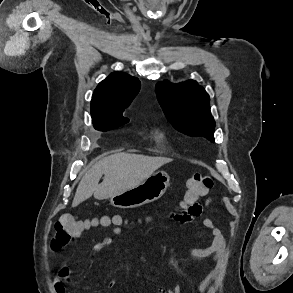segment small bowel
<instances>
[{"mask_svg":"<svg viewBox=\"0 0 293 293\" xmlns=\"http://www.w3.org/2000/svg\"><path fill=\"white\" fill-rule=\"evenodd\" d=\"M202 211V205L200 203L196 204L190 210L182 209L181 207L176 208L174 212L171 213L170 218L179 223H186L191 221L193 218L198 216ZM118 217V216H114ZM146 222H150V218H146ZM203 225L207 227L213 236L212 243L207 247H195L189 246L188 251L190 255L195 259H205L212 255L217 256V258H221L225 252V234L224 232L217 227L211 220L205 219L203 221ZM90 227H88L85 231H87ZM85 231H83L80 235H82ZM121 230L117 227L114 228L115 234H120ZM113 244V239L111 237H104L100 241L96 242L92 246V252L101 253L109 249ZM212 276H207L201 283L196 287L197 290H201L205 288ZM70 281V269L66 266L60 267L56 276L53 279V286L56 293H67L65 283ZM115 282L112 280L109 282V286H114ZM163 293H183V290L180 286L176 285L169 290L163 291Z\"/></svg>","mask_w":293,"mask_h":293,"instance_id":"small-bowel-1","label":"small bowel"}]
</instances>
